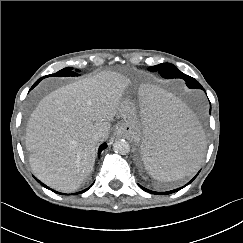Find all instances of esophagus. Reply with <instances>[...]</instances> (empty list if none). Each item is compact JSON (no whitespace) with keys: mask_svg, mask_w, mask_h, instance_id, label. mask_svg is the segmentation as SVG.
Returning <instances> with one entry per match:
<instances>
[{"mask_svg":"<svg viewBox=\"0 0 243 243\" xmlns=\"http://www.w3.org/2000/svg\"><path fill=\"white\" fill-rule=\"evenodd\" d=\"M124 132L122 130H118L117 135L122 136Z\"/></svg>","mask_w":243,"mask_h":243,"instance_id":"34e87169","label":"esophagus"}]
</instances>
